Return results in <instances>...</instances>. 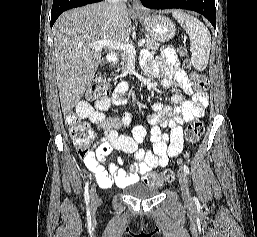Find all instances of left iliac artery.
<instances>
[{
  "instance_id": "1",
  "label": "left iliac artery",
  "mask_w": 257,
  "mask_h": 237,
  "mask_svg": "<svg viewBox=\"0 0 257 237\" xmlns=\"http://www.w3.org/2000/svg\"><path fill=\"white\" fill-rule=\"evenodd\" d=\"M183 170H184L187 174H189V168H188V166H187L186 164H183Z\"/></svg>"
}]
</instances>
